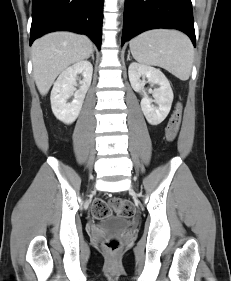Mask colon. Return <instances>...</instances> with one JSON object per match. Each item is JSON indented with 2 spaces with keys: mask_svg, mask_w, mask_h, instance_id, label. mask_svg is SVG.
<instances>
[{
  "mask_svg": "<svg viewBox=\"0 0 231 281\" xmlns=\"http://www.w3.org/2000/svg\"><path fill=\"white\" fill-rule=\"evenodd\" d=\"M181 118L182 103L178 102L166 127L165 134L168 141L171 142L176 138L180 127ZM91 212L95 218H105L112 212H116L128 218L134 215L135 208L130 201L119 198H113L108 202L102 199H96L92 203ZM105 246L109 251L113 252L119 248L120 242L117 239H109L105 242Z\"/></svg>",
  "mask_w": 231,
  "mask_h": 281,
  "instance_id": "colon-1",
  "label": "colon"
}]
</instances>
